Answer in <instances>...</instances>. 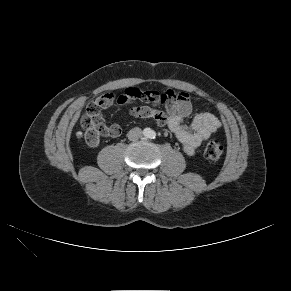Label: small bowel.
Here are the masks:
<instances>
[{"instance_id": "1", "label": "small bowel", "mask_w": 291, "mask_h": 291, "mask_svg": "<svg viewBox=\"0 0 291 291\" xmlns=\"http://www.w3.org/2000/svg\"><path fill=\"white\" fill-rule=\"evenodd\" d=\"M122 95L127 97L128 104L135 102L149 104L148 100L150 98L155 99L160 95H167L169 97V105L164 111L154 109L147 105H134L130 108V114L142 119L151 118L158 125L167 126L182 144L183 150L188 155H193L196 149L221 127L219 118L209 112L195 114L190 124H186L185 120L192 115L194 106L190 95L186 92L175 93L169 90L165 93H159L128 87ZM114 98L112 94H104L95 99L94 102L97 105L99 117L102 118L100 112L102 109L109 108L113 105ZM111 127L119 131L117 134L111 135V137H117L121 133V128L116 124L111 125Z\"/></svg>"}]
</instances>
